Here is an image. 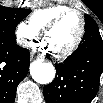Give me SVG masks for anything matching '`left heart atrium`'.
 Returning a JSON list of instances; mask_svg holds the SVG:
<instances>
[{
  "mask_svg": "<svg viewBox=\"0 0 103 103\" xmlns=\"http://www.w3.org/2000/svg\"><path fill=\"white\" fill-rule=\"evenodd\" d=\"M37 48L41 51H50V47L47 43V41L45 39L41 40L38 44H37Z\"/></svg>",
  "mask_w": 103,
  "mask_h": 103,
  "instance_id": "left-heart-atrium-1",
  "label": "left heart atrium"
}]
</instances>
